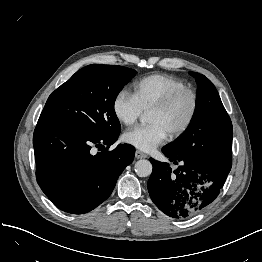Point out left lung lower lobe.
Segmentation results:
<instances>
[{
	"label": "left lung lower lobe",
	"mask_w": 262,
	"mask_h": 262,
	"mask_svg": "<svg viewBox=\"0 0 262 262\" xmlns=\"http://www.w3.org/2000/svg\"><path fill=\"white\" fill-rule=\"evenodd\" d=\"M162 152L178 165L173 171L168 163L150 158L153 171L147 188L150 198L162 212L172 218L187 219L198 214L217 198L231 169L229 154L223 164L210 168L172 155L164 149Z\"/></svg>",
	"instance_id": "1"
}]
</instances>
